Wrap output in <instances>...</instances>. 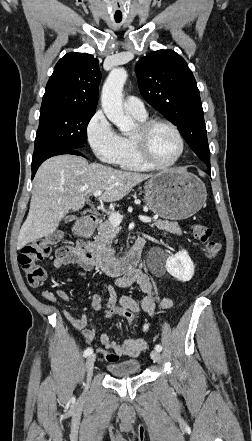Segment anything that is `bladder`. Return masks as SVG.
Returning a JSON list of instances; mask_svg holds the SVG:
<instances>
[{
  "label": "bladder",
  "mask_w": 252,
  "mask_h": 441,
  "mask_svg": "<svg viewBox=\"0 0 252 441\" xmlns=\"http://www.w3.org/2000/svg\"><path fill=\"white\" fill-rule=\"evenodd\" d=\"M141 363L138 360H128L119 363H110L106 369L113 378H127L139 373Z\"/></svg>",
  "instance_id": "31cf9c89"
}]
</instances>
